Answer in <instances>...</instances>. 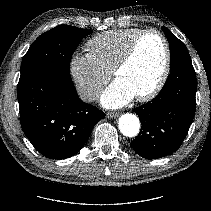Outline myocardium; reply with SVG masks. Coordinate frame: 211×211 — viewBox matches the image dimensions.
Returning a JSON list of instances; mask_svg holds the SVG:
<instances>
[{
  "mask_svg": "<svg viewBox=\"0 0 211 211\" xmlns=\"http://www.w3.org/2000/svg\"><path fill=\"white\" fill-rule=\"evenodd\" d=\"M147 34H155L161 39L163 43V47H164V64H163L161 74L157 82L155 83V85L146 93L135 96L136 100L139 102H146L155 98L160 93V91L162 90V88L164 87L168 79V76L170 73V66H171V51H170L169 42L167 38L165 37V35L161 31L155 28L142 29L132 39L127 50L122 55V57L118 60V62L115 64V66L113 67L111 71L112 77L116 78L117 75L130 64V62L133 60L136 54L140 40Z\"/></svg>",
  "mask_w": 211,
  "mask_h": 211,
  "instance_id": "f54148a6",
  "label": "myocardium"
}]
</instances>
